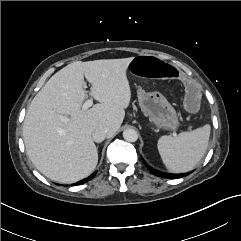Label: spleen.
I'll return each instance as SVG.
<instances>
[{
    "instance_id": "3e777b00",
    "label": "spleen",
    "mask_w": 241,
    "mask_h": 241,
    "mask_svg": "<svg viewBox=\"0 0 241 241\" xmlns=\"http://www.w3.org/2000/svg\"><path fill=\"white\" fill-rule=\"evenodd\" d=\"M209 124L176 137L162 136L157 143L163 163L170 172L183 173L192 170L204 156L209 142Z\"/></svg>"
}]
</instances>
